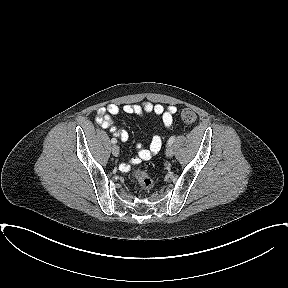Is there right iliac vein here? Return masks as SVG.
Returning a JSON list of instances; mask_svg holds the SVG:
<instances>
[{
	"label": "right iliac vein",
	"mask_w": 288,
	"mask_h": 288,
	"mask_svg": "<svg viewBox=\"0 0 288 288\" xmlns=\"http://www.w3.org/2000/svg\"><path fill=\"white\" fill-rule=\"evenodd\" d=\"M111 151H112V154L116 157L119 155V152H120L119 147L116 145L112 146Z\"/></svg>",
	"instance_id": "63e3f726"
}]
</instances>
